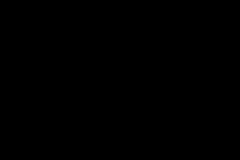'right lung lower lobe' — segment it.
<instances>
[{"mask_svg":"<svg viewBox=\"0 0 240 160\" xmlns=\"http://www.w3.org/2000/svg\"><path fill=\"white\" fill-rule=\"evenodd\" d=\"M113 81V77L112 76H108L105 78H102L100 81L97 82V84L101 87V88H107Z\"/></svg>","mask_w":240,"mask_h":160,"instance_id":"98d812e1","label":"right lung lower lobe"}]
</instances>
